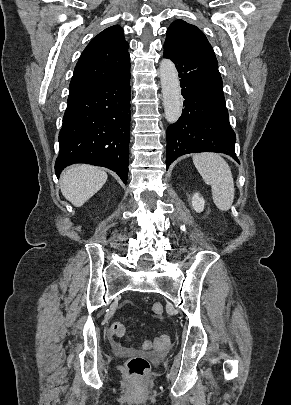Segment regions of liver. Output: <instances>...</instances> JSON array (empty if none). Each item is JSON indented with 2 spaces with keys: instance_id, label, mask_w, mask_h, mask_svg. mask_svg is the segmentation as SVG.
Listing matches in <instances>:
<instances>
[{
  "instance_id": "liver-1",
  "label": "liver",
  "mask_w": 291,
  "mask_h": 405,
  "mask_svg": "<svg viewBox=\"0 0 291 405\" xmlns=\"http://www.w3.org/2000/svg\"><path fill=\"white\" fill-rule=\"evenodd\" d=\"M107 177L106 172L98 167L73 165L66 168L61 175V192L74 206L81 207L102 188Z\"/></svg>"
}]
</instances>
